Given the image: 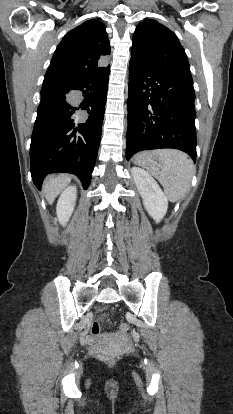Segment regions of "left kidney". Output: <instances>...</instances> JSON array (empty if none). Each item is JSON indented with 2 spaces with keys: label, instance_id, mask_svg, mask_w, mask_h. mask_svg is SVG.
Returning a JSON list of instances; mask_svg holds the SVG:
<instances>
[{
  "label": "left kidney",
  "instance_id": "1",
  "mask_svg": "<svg viewBox=\"0 0 233 414\" xmlns=\"http://www.w3.org/2000/svg\"><path fill=\"white\" fill-rule=\"evenodd\" d=\"M131 174L146 211L157 223L160 222L167 212L168 198L154 178L144 169L133 167Z\"/></svg>",
  "mask_w": 233,
  "mask_h": 414
}]
</instances>
